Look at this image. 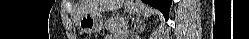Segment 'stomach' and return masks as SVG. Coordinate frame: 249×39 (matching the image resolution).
Here are the masks:
<instances>
[{"instance_id":"1","label":"stomach","mask_w":249,"mask_h":39,"mask_svg":"<svg viewBox=\"0 0 249 39\" xmlns=\"http://www.w3.org/2000/svg\"><path fill=\"white\" fill-rule=\"evenodd\" d=\"M127 11L131 14L138 13L141 10V4L138 1L130 2L126 4ZM80 29L87 33L93 34L99 32L103 28V19L99 11L90 12L82 16L79 20Z\"/></svg>"}]
</instances>
